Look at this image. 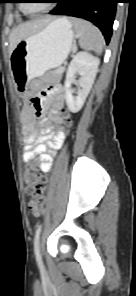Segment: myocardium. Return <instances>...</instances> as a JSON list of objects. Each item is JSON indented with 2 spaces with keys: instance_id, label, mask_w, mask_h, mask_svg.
Instances as JSON below:
<instances>
[{
  "instance_id": "obj_1",
  "label": "myocardium",
  "mask_w": 136,
  "mask_h": 296,
  "mask_svg": "<svg viewBox=\"0 0 136 296\" xmlns=\"http://www.w3.org/2000/svg\"><path fill=\"white\" fill-rule=\"evenodd\" d=\"M21 6H22L24 12H26V13H28V14H31V15H35V14H38V13L44 12V11H46V10L49 9V7H48V8H43V9H40V10H33V9H31V8L28 6L27 3H22Z\"/></svg>"
}]
</instances>
